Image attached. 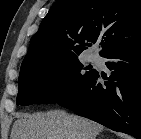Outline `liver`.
<instances>
[{
  "instance_id": "1",
  "label": "liver",
  "mask_w": 141,
  "mask_h": 139,
  "mask_svg": "<svg viewBox=\"0 0 141 139\" xmlns=\"http://www.w3.org/2000/svg\"><path fill=\"white\" fill-rule=\"evenodd\" d=\"M104 127L63 110L19 114L10 139H96Z\"/></svg>"
}]
</instances>
